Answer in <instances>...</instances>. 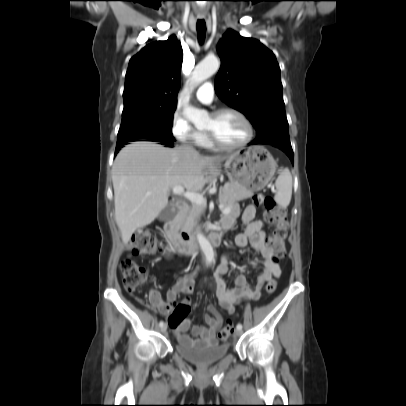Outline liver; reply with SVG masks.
<instances>
[{
  "label": "liver",
  "mask_w": 406,
  "mask_h": 406,
  "mask_svg": "<svg viewBox=\"0 0 406 406\" xmlns=\"http://www.w3.org/2000/svg\"><path fill=\"white\" fill-rule=\"evenodd\" d=\"M232 155L201 156L149 141L125 146L112 168L115 220L123 243L127 244L138 228L155 220L168 205L173 187L182 186L194 193L202 190L219 174V163Z\"/></svg>",
  "instance_id": "6515ba94"
}]
</instances>
